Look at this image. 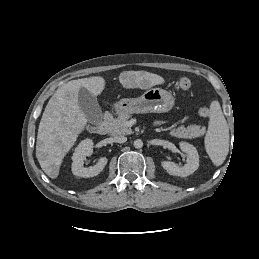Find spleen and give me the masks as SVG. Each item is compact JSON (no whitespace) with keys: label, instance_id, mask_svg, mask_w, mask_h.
I'll return each instance as SVG.
<instances>
[{"label":"spleen","instance_id":"spleen-1","mask_svg":"<svg viewBox=\"0 0 259 259\" xmlns=\"http://www.w3.org/2000/svg\"><path fill=\"white\" fill-rule=\"evenodd\" d=\"M205 149L215 166L224 162L229 151V129L218 101H213L210 105Z\"/></svg>","mask_w":259,"mask_h":259}]
</instances>
